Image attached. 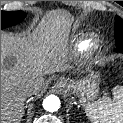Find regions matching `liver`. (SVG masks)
<instances>
[{"instance_id":"6515ba94","label":"liver","mask_w":123,"mask_h":123,"mask_svg":"<svg viewBox=\"0 0 123 123\" xmlns=\"http://www.w3.org/2000/svg\"><path fill=\"white\" fill-rule=\"evenodd\" d=\"M70 18L62 12L51 13L33 33H1V123H20L27 95L23 85L38 84L44 75L72 69L66 52L65 33Z\"/></svg>"}]
</instances>
